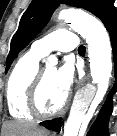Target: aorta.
I'll return each instance as SVG.
<instances>
[{
	"instance_id": "aorta-1",
	"label": "aorta",
	"mask_w": 117,
	"mask_h": 136,
	"mask_svg": "<svg viewBox=\"0 0 117 136\" xmlns=\"http://www.w3.org/2000/svg\"><path fill=\"white\" fill-rule=\"evenodd\" d=\"M58 19L70 23L86 40L92 83L97 84V90L88 86L74 97L63 136H78L81 124L91 117L90 109L95 108L107 92L112 73V48L108 32L96 18L78 10H62ZM48 61L52 66L58 63L55 56H50Z\"/></svg>"
}]
</instances>
